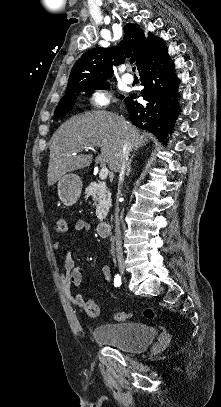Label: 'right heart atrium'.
I'll return each mask as SVG.
<instances>
[{"label": "right heart atrium", "instance_id": "right-heart-atrium-1", "mask_svg": "<svg viewBox=\"0 0 221 407\" xmlns=\"http://www.w3.org/2000/svg\"><path fill=\"white\" fill-rule=\"evenodd\" d=\"M112 96L107 89L98 88L91 91L89 103L95 108H106L111 104Z\"/></svg>", "mask_w": 221, "mask_h": 407}]
</instances>
